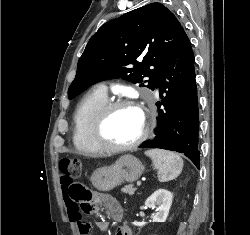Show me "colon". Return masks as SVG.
I'll return each instance as SVG.
<instances>
[{"mask_svg": "<svg viewBox=\"0 0 250 235\" xmlns=\"http://www.w3.org/2000/svg\"><path fill=\"white\" fill-rule=\"evenodd\" d=\"M62 181L70 190L71 198L78 204V210H91L86 188L76 182L81 176L82 164L78 159H62L60 161Z\"/></svg>", "mask_w": 250, "mask_h": 235, "instance_id": "1", "label": "colon"}]
</instances>
